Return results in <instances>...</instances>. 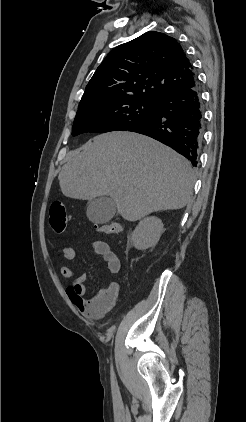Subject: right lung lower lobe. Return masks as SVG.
<instances>
[{
  "mask_svg": "<svg viewBox=\"0 0 246 422\" xmlns=\"http://www.w3.org/2000/svg\"><path fill=\"white\" fill-rule=\"evenodd\" d=\"M154 104V114L127 131L152 137L197 166L204 126L198 84L168 93Z\"/></svg>",
  "mask_w": 246,
  "mask_h": 422,
  "instance_id": "obj_1",
  "label": "right lung lower lobe"
}]
</instances>
